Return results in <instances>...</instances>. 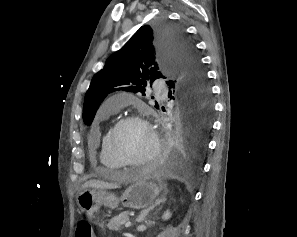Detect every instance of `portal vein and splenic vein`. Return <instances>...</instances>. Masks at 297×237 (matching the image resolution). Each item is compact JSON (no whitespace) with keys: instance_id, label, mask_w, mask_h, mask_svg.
I'll return each mask as SVG.
<instances>
[{"instance_id":"18ae733b","label":"portal vein and splenic vein","mask_w":297,"mask_h":237,"mask_svg":"<svg viewBox=\"0 0 297 237\" xmlns=\"http://www.w3.org/2000/svg\"><path fill=\"white\" fill-rule=\"evenodd\" d=\"M130 226H131V222H130V221H127V222L125 223V227L128 228V227H130Z\"/></svg>"}]
</instances>
